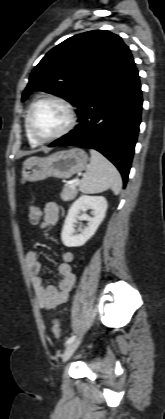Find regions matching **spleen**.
<instances>
[{"instance_id": "spleen-1", "label": "spleen", "mask_w": 165, "mask_h": 419, "mask_svg": "<svg viewBox=\"0 0 165 419\" xmlns=\"http://www.w3.org/2000/svg\"><path fill=\"white\" fill-rule=\"evenodd\" d=\"M90 153L91 162L79 185L81 192L95 194L111 188L113 193L118 195L122 189V179L118 170L98 151L91 149Z\"/></svg>"}]
</instances>
